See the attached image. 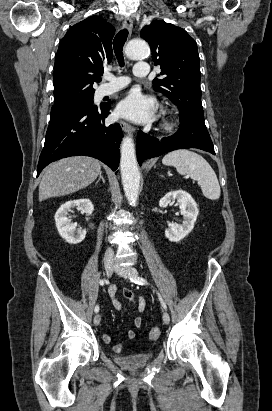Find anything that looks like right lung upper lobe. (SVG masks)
<instances>
[{"mask_svg":"<svg viewBox=\"0 0 272 411\" xmlns=\"http://www.w3.org/2000/svg\"><path fill=\"white\" fill-rule=\"evenodd\" d=\"M115 28L98 16L72 26L63 37L54 64V101L68 100L79 91H95L93 83L113 58Z\"/></svg>","mask_w":272,"mask_h":411,"instance_id":"obj_1","label":"right lung upper lobe"}]
</instances>
